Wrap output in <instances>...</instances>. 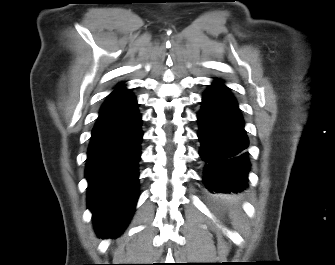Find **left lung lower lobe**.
<instances>
[{
    "label": "left lung lower lobe",
    "mask_w": 335,
    "mask_h": 265,
    "mask_svg": "<svg viewBox=\"0 0 335 265\" xmlns=\"http://www.w3.org/2000/svg\"><path fill=\"white\" fill-rule=\"evenodd\" d=\"M197 115L204 183L213 194L240 193L247 186L248 138L237 102L219 80L203 94Z\"/></svg>",
    "instance_id": "obj_1"
}]
</instances>
